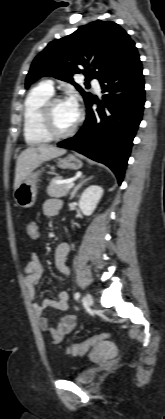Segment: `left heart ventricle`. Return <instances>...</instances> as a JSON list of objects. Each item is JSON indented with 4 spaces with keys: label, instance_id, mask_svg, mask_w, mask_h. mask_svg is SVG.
Wrapping results in <instances>:
<instances>
[{
    "label": "left heart ventricle",
    "instance_id": "left-heart-ventricle-1",
    "mask_svg": "<svg viewBox=\"0 0 165 419\" xmlns=\"http://www.w3.org/2000/svg\"><path fill=\"white\" fill-rule=\"evenodd\" d=\"M53 120L57 131L63 132L70 129L76 122L66 101L58 102L53 107Z\"/></svg>",
    "mask_w": 165,
    "mask_h": 419
}]
</instances>
